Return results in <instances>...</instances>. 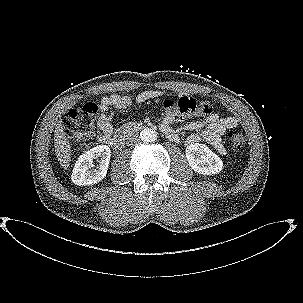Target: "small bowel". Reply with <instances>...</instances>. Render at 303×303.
Returning a JSON list of instances; mask_svg holds the SVG:
<instances>
[{"mask_svg":"<svg viewBox=\"0 0 303 303\" xmlns=\"http://www.w3.org/2000/svg\"><path fill=\"white\" fill-rule=\"evenodd\" d=\"M166 95L164 90H146L139 93L135 101L139 104L154 100ZM132 103L129 96L112 94L104 96L99 103V117L98 127L100 133L98 134V140L102 143L108 144L112 138L113 128L110 123L114 112L113 108L126 109ZM200 116L202 119L191 121L183 124L180 128H174V123L182 119L175 117L172 114H168L162 119L161 129L162 131H169L175 134V137L170 139L174 142L179 141L180 131H192L200 130L199 134L190 135L187 137V143H195L199 141H205L211 145L218 153L224 154L225 148L222 144V136L228 129L235 128L239 125V120L235 116L219 117L212 111V106L208 102H202L200 107Z\"/></svg>","mask_w":303,"mask_h":303,"instance_id":"small-bowel-1","label":"small bowel"}]
</instances>
